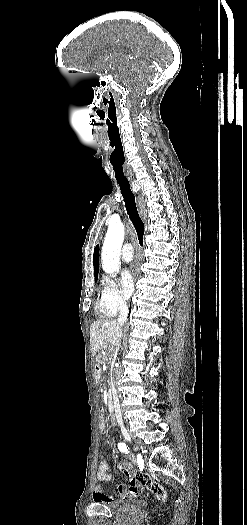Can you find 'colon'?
Returning a JSON list of instances; mask_svg holds the SVG:
<instances>
[{"mask_svg": "<svg viewBox=\"0 0 247 525\" xmlns=\"http://www.w3.org/2000/svg\"><path fill=\"white\" fill-rule=\"evenodd\" d=\"M96 424L98 427H100V430L102 432H105L107 430V427H106L107 421L105 418L103 417L98 418L96 421Z\"/></svg>", "mask_w": 247, "mask_h": 525, "instance_id": "5ec220e1", "label": "colon"}]
</instances>
